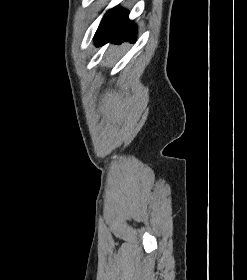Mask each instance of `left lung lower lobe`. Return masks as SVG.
Returning <instances> with one entry per match:
<instances>
[{
  "instance_id": "obj_1",
  "label": "left lung lower lobe",
  "mask_w": 247,
  "mask_h": 280,
  "mask_svg": "<svg viewBox=\"0 0 247 280\" xmlns=\"http://www.w3.org/2000/svg\"><path fill=\"white\" fill-rule=\"evenodd\" d=\"M136 33V26L128 19V12L117 6L105 14L94 39L98 46L110 40L116 44L125 40L134 42Z\"/></svg>"
}]
</instances>
